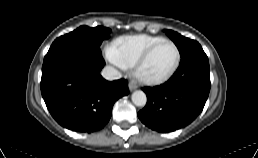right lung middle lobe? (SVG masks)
Here are the masks:
<instances>
[{
  "instance_id": "dd1d6c3e",
  "label": "right lung middle lobe",
  "mask_w": 258,
  "mask_h": 158,
  "mask_svg": "<svg viewBox=\"0 0 258 158\" xmlns=\"http://www.w3.org/2000/svg\"><path fill=\"white\" fill-rule=\"evenodd\" d=\"M110 32L111 30L109 28L101 26L94 28L81 26L73 32L57 38L52 43L48 53L67 48L86 49L101 53L100 45L104 39L109 38Z\"/></svg>"
}]
</instances>
